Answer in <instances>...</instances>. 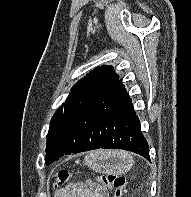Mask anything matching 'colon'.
<instances>
[{
    "mask_svg": "<svg viewBox=\"0 0 191 197\" xmlns=\"http://www.w3.org/2000/svg\"><path fill=\"white\" fill-rule=\"evenodd\" d=\"M71 177V173L67 170L58 171L55 175L54 186L60 187L66 184ZM98 181L107 191H113V197H123L126 184V180L123 175L114 173L101 174L98 177Z\"/></svg>",
    "mask_w": 191,
    "mask_h": 197,
    "instance_id": "1",
    "label": "colon"
}]
</instances>
